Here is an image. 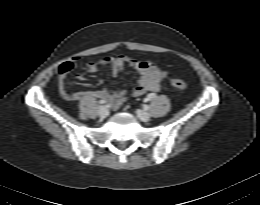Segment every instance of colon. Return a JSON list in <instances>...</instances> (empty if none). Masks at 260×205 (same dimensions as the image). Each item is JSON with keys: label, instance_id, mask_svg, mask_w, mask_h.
Wrapping results in <instances>:
<instances>
[{"label": "colon", "instance_id": "5ec220e1", "mask_svg": "<svg viewBox=\"0 0 260 205\" xmlns=\"http://www.w3.org/2000/svg\"><path fill=\"white\" fill-rule=\"evenodd\" d=\"M167 78L174 88H176L178 90H185L186 89L187 83L184 80L176 77L172 73H168Z\"/></svg>", "mask_w": 260, "mask_h": 205}]
</instances>
